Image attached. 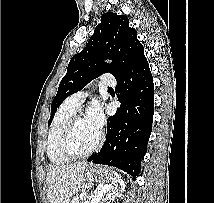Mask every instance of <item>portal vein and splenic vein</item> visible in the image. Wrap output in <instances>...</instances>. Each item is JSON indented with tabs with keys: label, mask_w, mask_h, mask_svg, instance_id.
Segmentation results:
<instances>
[{
	"label": "portal vein and splenic vein",
	"mask_w": 214,
	"mask_h": 203,
	"mask_svg": "<svg viewBox=\"0 0 214 203\" xmlns=\"http://www.w3.org/2000/svg\"><path fill=\"white\" fill-rule=\"evenodd\" d=\"M109 190V187H102L100 190L95 192L93 197H90V203H98L105 196V193Z\"/></svg>",
	"instance_id": "18ae733b"
}]
</instances>
